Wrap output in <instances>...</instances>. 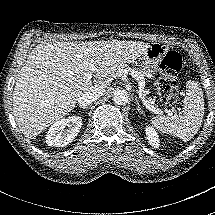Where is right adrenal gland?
I'll list each match as a JSON object with an SVG mask.
<instances>
[{
    "label": "right adrenal gland",
    "instance_id": "obj_1",
    "mask_svg": "<svg viewBox=\"0 0 215 215\" xmlns=\"http://www.w3.org/2000/svg\"><path fill=\"white\" fill-rule=\"evenodd\" d=\"M80 109H83V110H85V111H88V110H89V107L80 106Z\"/></svg>",
    "mask_w": 215,
    "mask_h": 215
}]
</instances>
